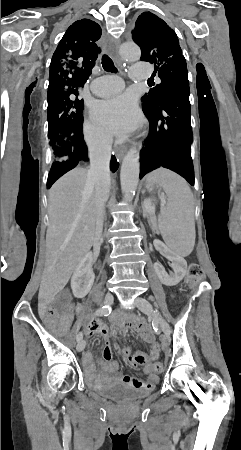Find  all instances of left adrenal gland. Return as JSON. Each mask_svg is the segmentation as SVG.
<instances>
[{"label": "left adrenal gland", "instance_id": "left-adrenal-gland-1", "mask_svg": "<svg viewBox=\"0 0 241 450\" xmlns=\"http://www.w3.org/2000/svg\"><path fill=\"white\" fill-rule=\"evenodd\" d=\"M142 210H143V218H147L148 224H149V226H151V228H152L151 220H150V218H149V216H148V214H147L145 208H142Z\"/></svg>", "mask_w": 241, "mask_h": 450}]
</instances>
